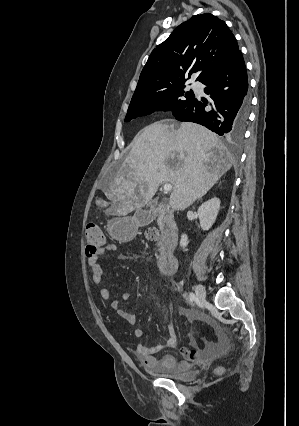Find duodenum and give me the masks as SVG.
<instances>
[{
  "instance_id": "1",
  "label": "duodenum",
  "mask_w": 299,
  "mask_h": 426,
  "mask_svg": "<svg viewBox=\"0 0 299 426\" xmlns=\"http://www.w3.org/2000/svg\"><path fill=\"white\" fill-rule=\"evenodd\" d=\"M158 218L163 226V237L159 244V268L166 275L174 274L177 268L175 248L178 239L176 223L170 211L159 208L156 210L141 213L137 220L139 224H146L152 219Z\"/></svg>"
}]
</instances>
